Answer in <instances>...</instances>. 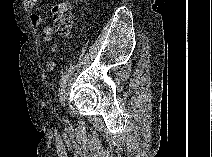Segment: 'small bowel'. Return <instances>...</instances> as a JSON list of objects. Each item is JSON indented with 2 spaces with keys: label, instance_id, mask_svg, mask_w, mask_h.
Wrapping results in <instances>:
<instances>
[{
  "label": "small bowel",
  "instance_id": "c3829d8e",
  "mask_svg": "<svg viewBox=\"0 0 212 157\" xmlns=\"http://www.w3.org/2000/svg\"><path fill=\"white\" fill-rule=\"evenodd\" d=\"M39 4V0H26L24 2L25 8L28 10H32L36 8ZM30 21L33 27L35 28H40L42 32L43 39L48 42L49 45V50L52 53H56L58 50V45L54 42L53 39V29L49 25H42V18L39 14H31L30 16ZM54 62H49L47 64L46 70L48 73H51L54 69Z\"/></svg>",
  "mask_w": 212,
  "mask_h": 157
}]
</instances>
